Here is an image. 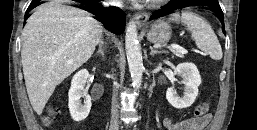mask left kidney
<instances>
[{"instance_id":"obj_1","label":"left kidney","mask_w":257,"mask_h":130,"mask_svg":"<svg viewBox=\"0 0 257 130\" xmlns=\"http://www.w3.org/2000/svg\"><path fill=\"white\" fill-rule=\"evenodd\" d=\"M176 72L182 77L181 83L184 84V96L175 95L173 87L168 88L166 99L177 109L190 107L198 95V87L201 84L200 73L193 63H181L176 67Z\"/></svg>"}]
</instances>
